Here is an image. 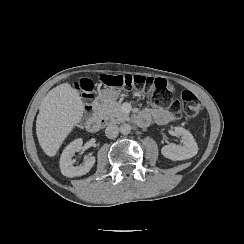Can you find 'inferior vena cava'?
<instances>
[{
  "mask_svg": "<svg viewBox=\"0 0 244 244\" xmlns=\"http://www.w3.org/2000/svg\"><path fill=\"white\" fill-rule=\"evenodd\" d=\"M119 133V127L115 124L109 125L106 130H105V134L108 138H116L118 136Z\"/></svg>",
  "mask_w": 244,
  "mask_h": 244,
  "instance_id": "1",
  "label": "inferior vena cava"
}]
</instances>
